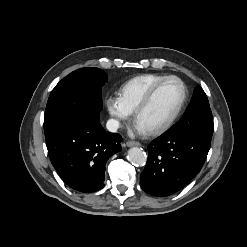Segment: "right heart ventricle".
<instances>
[{
  "instance_id": "obj_1",
  "label": "right heart ventricle",
  "mask_w": 247,
  "mask_h": 247,
  "mask_svg": "<svg viewBox=\"0 0 247 247\" xmlns=\"http://www.w3.org/2000/svg\"><path fill=\"white\" fill-rule=\"evenodd\" d=\"M166 75L143 74L125 82L119 89V98L124 107L134 113L147 92Z\"/></svg>"
}]
</instances>
